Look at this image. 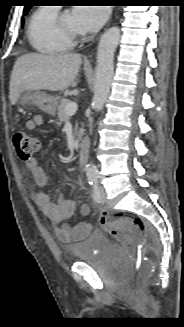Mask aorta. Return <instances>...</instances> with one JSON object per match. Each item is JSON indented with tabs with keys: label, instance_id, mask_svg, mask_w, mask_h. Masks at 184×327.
Listing matches in <instances>:
<instances>
[{
	"label": "aorta",
	"instance_id": "obj_1",
	"mask_svg": "<svg viewBox=\"0 0 184 327\" xmlns=\"http://www.w3.org/2000/svg\"><path fill=\"white\" fill-rule=\"evenodd\" d=\"M120 37V29L111 27L105 31L98 44L96 78L92 98V106L96 112L103 109L110 92L114 74V54ZM86 175L90 179H96L98 177L97 168L88 164Z\"/></svg>",
	"mask_w": 184,
	"mask_h": 327
}]
</instances>
